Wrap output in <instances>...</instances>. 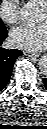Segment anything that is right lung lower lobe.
<instances>
[{"mask_svg":"<svg viewBox=\"0 0 47 129\" xmlns=\"http://www.w3.org/2000/svg\"><path fill=\"white\" fill-rule=\"evenodd\" d=\"M6 28L0 30V45L7 37ZM22 55L17 49L7 50L0 47V91L7 85L16 59Z\"/></svg>","mask_w":47,"mask_h":129,"instance_id":"98d812e1","label":"right lung lower lobe"}]
</instances>
